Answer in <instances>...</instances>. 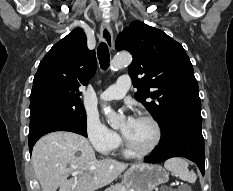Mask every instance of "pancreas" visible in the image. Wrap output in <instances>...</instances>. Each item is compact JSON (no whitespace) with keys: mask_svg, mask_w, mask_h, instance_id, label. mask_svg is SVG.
I'll list each match as a JSON object with an SVG mask.
<instances>
[{"mask_svg":"<svg viewBox=\"0 0 233 191\" xmlns=\"http://www.w3.org/2000/svg\"><path fill=\"white\" fill-rule=\"evenodd\" d=\"M105 191H128L124 185L122 184H117L115 186H111L107 188Z\"/></svg>","mask_w":233,"mask_h":191,"instance_id":"obj_1","label":"pancreas"}]
</instances>
